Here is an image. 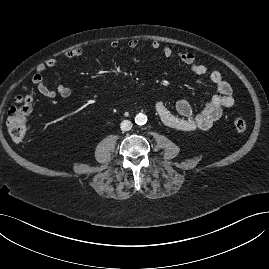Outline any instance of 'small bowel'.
Here are the masks:
<instances>
[{
    "instance_id": "small-bowel-1",
    "label": "small bowel",
    "mask_w": 269,
    "mask_h": 269,
    "mask_svg": "<svg viewBox=\"0 0 269 269\" xmlns=\"http://www.w3.org/2000/svg\"><path fill=\"white\" fill-rule=\"evenodd\" d=\"M120 44L117 40L110 42L112 49L119 48ZM129 49H136L139 46L137 39H130L127 43ZM151 48L160 50L165 58L173 56V49L168 45H162L161 42L154 40L151 42ZM83 54L82 48H73L65 52L66 58H76ZM178 59L186 65L189 70L197 75L204 76L208 73L205 65L197 63L195 56L191 52L178 53ZM57 65L56 59H49L45 63L37 66L32 76V83L37 87L39 93L45 98L52 99L56 96L68 98L71 90L65 85H58L55 89L49 88L45 82L43 74L47 69ZM210 81L215 85L217 94L214 95L204 106L203 110L194 115L190 103L185 99H180L175 104V111L172 112L165 103L157 102L155 104V112L159 119L168 127L180 131H205L210 129L223 115L227 108H233L237 105L236 99L233 97V88L229 82L224 80L220 71L214 70L209 73Z\"/></svg>"
}]
</instances>
